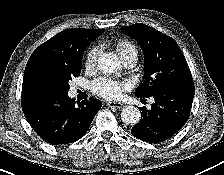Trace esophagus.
I'll return each mask as SVG.
<instances>
[{
    "label": "esophagus",
    "mask_w": 224,
    "mask_h": 175,
    "mask_svg": "<svg viewBox=\"0 0 224 175\" xmlns=\"http://www.w3.org/2000/svg\"><path fill=\"white\" fill-rule=\"evenodd\" d=\"M107 105L111 108H117V109H120L123 107V104L118 101H109L107 102Z\"/></svg>",
    "instance_id": "34e87169"
}]
</instances>
